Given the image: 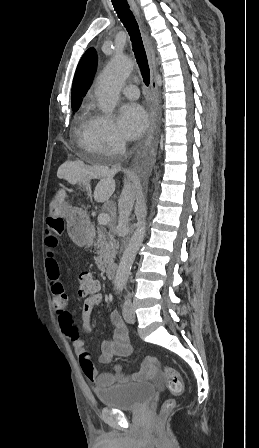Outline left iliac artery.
<instances>
[{"instance_id":"left-iliac-artery-1","label":"left iliac artery","mask_w":259,"mask_h":448,"mask_svg":"<svg viewBox=\"0 0 259 448\" xmlns=\"http://www.w3.org/2000/svg\"><path fill=\"white\" fill-rule=\"evenodd\" d=\"M123 290V285H120L119 286V291H122Z\"/></svg>"}]
</instances>
